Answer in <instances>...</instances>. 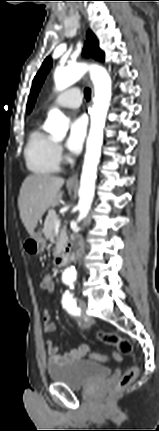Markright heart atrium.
<instances>
[{
    "instance_id": "right-heart-atrium-1",
    "label": "right heart atrium",
    "mask_w": 159,
    "mask_h": 431,
    "mask_svg": "<svg viewBox=\"0 0 159 431\" xmlns=\"http://www.w3.org/2000/svg\"><path fill=\"white\" fill-rule=\"evenodd\" d=\"M55 150H56V156H57L58 160L61 161L64 157L62 147L60 145L56 144Z\"/></svg>"
}]
</instances>
